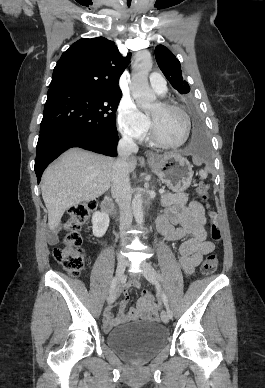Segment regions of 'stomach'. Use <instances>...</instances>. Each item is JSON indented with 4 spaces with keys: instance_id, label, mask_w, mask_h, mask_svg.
Returning <instances> with one entry per match:
<instances>
[{
    "instance_id": "0dacf381",
    "label": "stomach",
    "mask_w": 265,
    "mask_h": 388,
    "mask_svg": "<svg viewBox=\"0 0 265 388\" xmlns=\"http://www.w3.org/2000/svg\"><path fill=\"white\" fill-rule=\"evenodd\" d=\"M148 164L159 179L171 190H186L192 181L193 171L189 161L177 153L154 155Z\"/></svg>"
}]
</instances>
